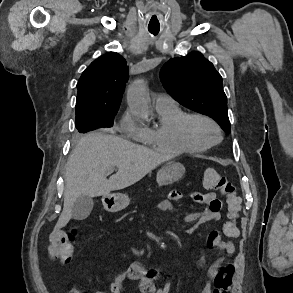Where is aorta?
<instances>
[{
	"label": "aorta",
	"instance_id": "aorta-1",
	"mask_svg": "<svg viewBox=\"0 0 293 293\" xmlns=\"http://www.w3.org/2000/svg\"><path fill=\"white\" fill-rule=\"evenodd\" d=\"M128 101L131 109L136 114L145 117L150 113L146 84L143 80H137L130 85Z\"/></svg>",
	"mask_w": 293,
	"mask_h": 293
}]
</instances>
